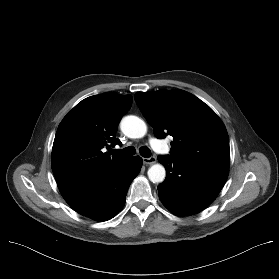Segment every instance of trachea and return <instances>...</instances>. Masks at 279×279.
Here are the masks:
<instances>
[{"instance_id":"trachea-1","label":"trachea","mask_w":279,"mask_h":279,"mask_svg":"<svg viewBox=\"0 0 279 279\" xmlns=\"http://www.w3.org/2000/svg\"><path fill=\"white\" fill-rule=\"evenodd\" d=\"M110 152H111V154L119 155V156H132L135 154V148L130 146V147L124 148L123 150H113L112 149ZM139 152H140L141 156H143L145 158H149L151 156V151L146 146H142L139 149Z\"/></svg>"}]
</instances>
